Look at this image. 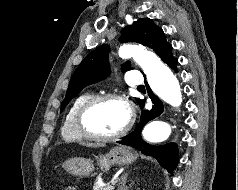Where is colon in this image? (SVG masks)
<instances>
[{
	"mask_svg": "<svg viewBox=\"0 0 238 190\" xmlns=\"http://www.w3.org/2000/svg\"><path fill=\"white\" fill-rule=\"evenodd\" d=\"M65 190H76V189L74 187L69 186Z\"/></svg>",
	"mask_w": 238,
	"mask_h": 190,
	"instance_id": "obj_1",
	"label": "colon"
}]
</instances>
